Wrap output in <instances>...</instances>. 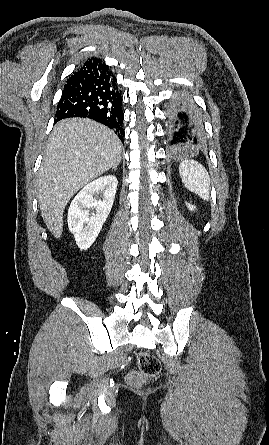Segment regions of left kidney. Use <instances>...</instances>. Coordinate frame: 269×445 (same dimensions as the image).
Instances as JSON below:
<instances>
[{"label":"left kidney","instance_id":"5707ae66","mask_svg":"<svg viewBox=\"0 0 269 445\" xmlns=\"http://www.w3.org/2000/svg\"><path fill=\"white\" fill-rule=\"evenodd\" d=\"M186 205L188 206V209H189V210H191V211L196 210V207H195V206H193V205H191V204H189V203H186Z\"/></svg>","mask_w":269,"mask_h":445}]
</instances>
